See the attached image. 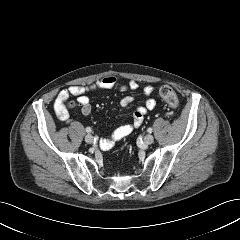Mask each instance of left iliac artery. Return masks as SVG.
<instances>
[{"label": "left iliac artery", "instance_id": "1", "mask_svg": "<svg viewBox=\"0 0 240 240\" xmlns=\"http://www.w3.org/2000/svg\"><path fill=\"white\" fill-rule=\"evenodd\" d=\"M152 131H153L152 128L147 129V132H149V133H152Z\"/></svg>", "mask_w": 240, "mask_h": 240}]
</instances>
